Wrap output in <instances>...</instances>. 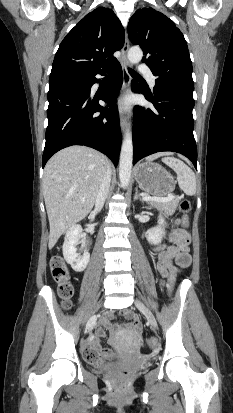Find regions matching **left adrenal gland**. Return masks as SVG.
Listing matches in <instances>:
<instances>
[{
    "label": "left adrenal gland",
    "mask_w": 233,
    "mask_h": 413,
    "mask_svg": "<svg viewBox=\"0 0 233 413\" xmlns=\"http://www.w3.org/2000/svg\"><path fill=\"white\" fill-rule=\"evenodd\" d=\"M137 199H139L140 201H142V202H143V200H142V198H141L140 194L138 193V187H136V188H135L134 201H135V200H137Z\"/></svg>",
    "instance_id": "1"
}]
</instances>
